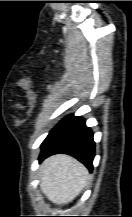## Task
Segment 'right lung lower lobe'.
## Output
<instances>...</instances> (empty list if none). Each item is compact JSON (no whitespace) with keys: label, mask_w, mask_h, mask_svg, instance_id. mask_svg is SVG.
Instances as JSON below:
<instances>
[{"label":"right lung lower lobe","mask_w":132,"mask_h":217,"mask_svg":"<svg viewBox=\"0 0 132 217\" xmlns=\"http://www.w3.org/2000/svg\"><path fill=\"white\" fill-rule=\"evenodd\" d=\"M41 162L46 157L64 153L69 154L92 171L95 153L93 133L81 117L69 115L62 119L49 133L41 145Z\"/></svg>","instance_id":"obj_1"}]
</instances>
